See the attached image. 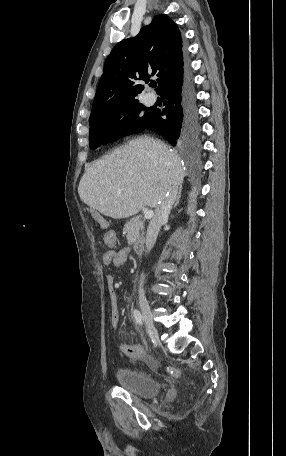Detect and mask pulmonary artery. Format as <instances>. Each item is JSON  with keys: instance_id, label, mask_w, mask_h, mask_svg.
I'll return each instance as SVG.
<instances>
[{"instance_id": "pulmonary-artery-1", "label": "pulmonary artery", "mask_w": 286, "mask_h": 456, "mask_svg": "<svg viewBox=\"0 0 286 456\" xmlns=\"http://www.w3.org/2000/svg\"><path fill=\"white\" fill-rule=\"evenodd\" d=\"M156 98L153 94H148L146 97V103L152 105L155 102Z\"/></svg>"}]
</instances>
